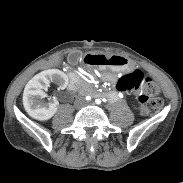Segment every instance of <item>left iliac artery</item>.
<instances>
[{
  "label": "left iliac artery",
  "instance_id": "left-iliac-artery-1",
  "mask_svg": "<svg viewBox=\"0 0 183 183\" xmlns=\"http://www.w3.org/2000/svg\"><path fill=\"white\" fill-rule=\"evenodd\" d=\"M95 103H96V104H101V100H100V99H96V100H95Z\"/></svg>",
  "mask_w": 183,
  "mask_h": 183
}]
</instances>
